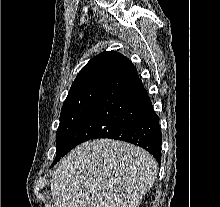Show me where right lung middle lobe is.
<instances>
[{"label":"right lung middle lobe","instance_id":"obj_1","mask_svg":"<svg viewBox=\"0 0 220 207\" xmlns=\"http://www.w3.org/2000/svg\"><path fill=\"white\" fill-rule=\"evenodd\" d=\"M104 81H95L69 91L60 114L56 132V157L52 166L64 156L70 138L87 114Z\"/></svg>","mask_w":220,"mask_h":207}]
</instances>
